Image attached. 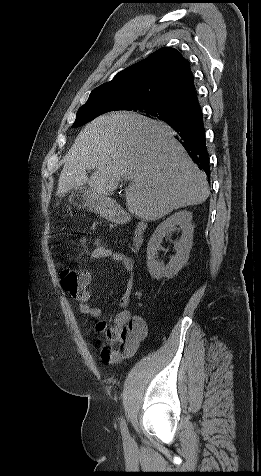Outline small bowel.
<instances>
[{"mask_svg": "<svg viewBox=\"0 0 261 476\" xmlns=\"http://www.w3.org/2000/svg\"><path fill=\"white\" fill-rule=\"evenodd\" d=\"M89 258L90 261L109 259L118 262L129 275L125 290L120 298V310L115 315L114 326L112 327L113 329L120 331L119 337L116 340L119 346H106L100 351L103 362L109 365H116L135 354L140 343L146 337L148 330L146 321L142 317L133 316L127 309L134 288V263L127 255L115 252L101 244L99 241L95 242V248L91 252ZM87 273L91 280V273ZM89 282L78 292L72 294V296L79 303L80 311L83 314H87L92 318L97 319L101 317L102 311L99 307L89 304V300L92 296V290L88 287Z\"/></svg>", "mask_w": 261, "mask_h": 476, "instance_id": "obj_1", "label": "small bowel"}]
</instances>
